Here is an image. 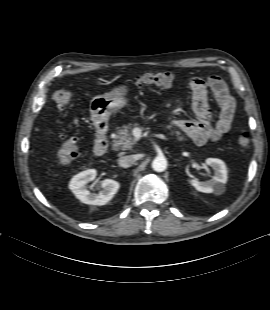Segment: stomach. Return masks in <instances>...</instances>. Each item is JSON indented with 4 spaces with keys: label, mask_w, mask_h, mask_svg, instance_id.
<instances>
[{
    "label": "stomach",
    "mask_w": 270,
    "mask_h": 310,
    "mask_svg": "<svg viewBox=\"0 0 270 310\" xmlns=\"http://www.w3.org/2000/svg\"><path fill=\"white\" fill-rule=\"evenodd\" d=\"M128 91L129 87L127 85H119L110 92L95 96L90 101L91 120L96 128L107 124L112 113L128 104L126 97Z\"/></svg>",
    "instance_id": "obj_1"
}]
</instances>
